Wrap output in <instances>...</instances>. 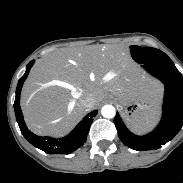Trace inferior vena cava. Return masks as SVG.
I'll return each instance as SVG.
<instances>
[{"mask_svg": "<svg viewBox=\"0 0 183 183\" xmlns=\"http://www.w3.org/2000/svg\"><path fill=\"white\" fill-rule=\"evenodd\" d=\"M80 103L83 107L85 108H90L92 107L94 103V96L92 93L87 92L83 94V96L80 98Z\"/></svg>", "mask_w": 183, "mask_h": 183, "instance_id": "inferior-vena-cava-1", "label": "inferior vena cava"}]
</instances>
